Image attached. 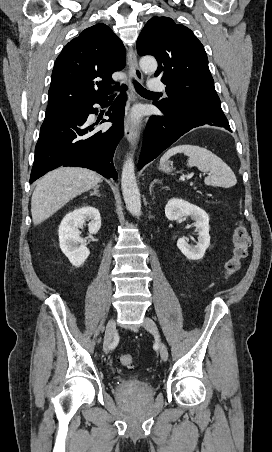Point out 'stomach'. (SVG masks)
<instances>
[{
  "label": "stomach",
  "mask_w": 272,
  "mask_h": 452,
  "mask_svg": "<svg viewBox=\"0 0 272 452\" xmlns=\"http://www.w3.org/2000/svg\"><path fill=\"white\" fill-rule=\"evenodd\" d=\"M160 169L163 171L168 170V164L166 162L160 164Z\"/></svg>",
  "instance_id": "stomach-1"
}]
</instances>
